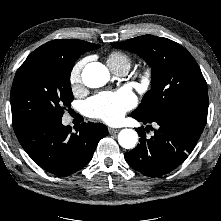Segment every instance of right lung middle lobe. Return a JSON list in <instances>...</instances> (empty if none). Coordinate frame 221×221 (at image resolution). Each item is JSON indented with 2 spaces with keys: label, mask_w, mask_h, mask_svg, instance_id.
<instances>
[{
  "label": "right lung middle lobe",
  "mask_w": 221,
  "mask_h": 221,
  "mask_svg": "<svg viewBox=\"0 0 221 221\" xmlns=\"http://www.w3.org/2000/svg\"><path fill=\"white\" fill-rule=\"evenodd\" d=\"M83 52L37 48L16 72L11 89L14 129L38 122L62 120L73 100L70 73Z\"/></svg>",
  "instance_id": "right-lung-middle-lobe-1"
}]
</instances>
